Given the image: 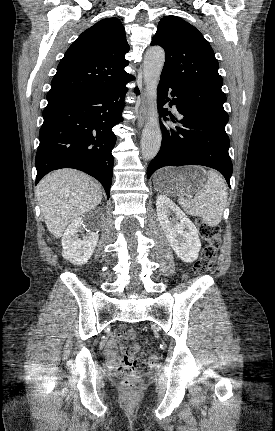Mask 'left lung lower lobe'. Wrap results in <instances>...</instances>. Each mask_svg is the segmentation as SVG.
Listing matches in <instances>:
<instances>
[{"mask_svg":"<svg viewBox=\"0 0 275 431\" xmlns=\"http://www.w3.org/2000/svg\"><path fill=\"white\" fill-rule=\"evenodd\" d=\"M174 97L169 106H176L180 118H175L163 106ZM160 115L173 121L170 126L161 123L162 143L157 156L150 162L147 178L164 166L203 165L223 174L230 186L232 162L228 154L229 138L225 131L228 118L209 113L184 97L166 78L161 77L158 86Z\"/></svg>","mask_w":275,"mask_h":431,"instance_id":"left-lung-lower-lobe-1","label":"left lung lower lobe"}]
</instances>
